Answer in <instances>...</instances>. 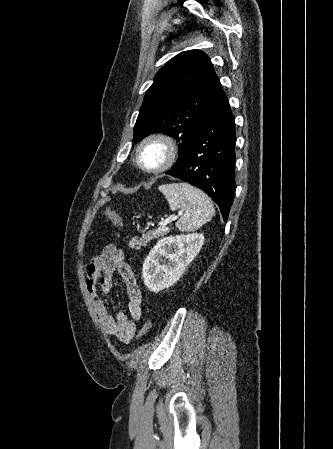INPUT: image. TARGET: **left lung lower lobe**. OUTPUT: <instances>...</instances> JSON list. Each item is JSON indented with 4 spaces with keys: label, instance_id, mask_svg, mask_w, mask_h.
<instances>
[{
    "label": "left lung lower lobe",
    "instance_id": "left-lung-lower-lobe-1",
    "mask_svg": "<svg viewBox=\"0 0 333 449\" xmlns=\"http://www.w3.org/2000/svg\"><path fill=\"white\" fill-rule=\"evenodd\" d=\"M235 143V119L222 91L195 132L182 165L166 172L212 197L224 221L233 202Z\"/></svg>",
    "mask_w": 333,
    "mask_h": 449
}]
</instances>
